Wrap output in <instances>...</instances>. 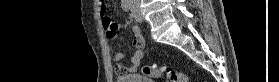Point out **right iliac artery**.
I'll return each mask as SVG.
<instances>
[{"label": "right iliac artery", "instance_id": "82829eb1", "mask_svg": "<svg viewBox=\"0 0 279 82\" xmlns=\"http://www.w3.org/2000/svg\"><path fill=\"white\" fill-rule=\"evenodd\" d=\"M121 7L124 11H129L131 8V1L130 0H122Z\"/></svg>", "mask_w": 279, "mask_h": 82}]
</instances>
